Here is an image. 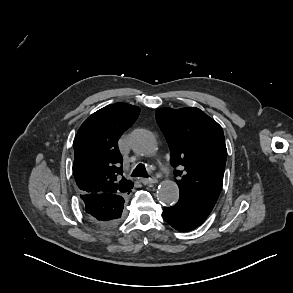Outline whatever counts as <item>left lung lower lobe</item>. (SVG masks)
Wrapping results in <instances>:
<instances>
[{
  "mask_svg": "<svg viewBox=\"0 0 293 293\" xmlns=\"http://www.w3.org/2000/svg\"><path fill=\"white\" fill-rule=\"evenodd\" d=\"M210 213L205 208L180 198L174 206L163 208V218L180 232L197 228Z\"/></svg>",
  "mask_w": 293,
  "mask_h": 293,
  "instance_id": "obj_1",
  "label": "left lung lower lobe"
}]
</instances>
